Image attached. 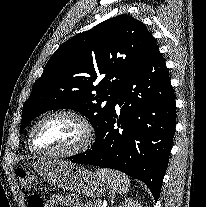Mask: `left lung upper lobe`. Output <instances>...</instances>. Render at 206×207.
I'll return each mask as SVG.
<instances>
[{
  "label": "left lung upper lobe",
  "instance_id": "left-lung-upper-lobe-1",
  "mask_svg": "<svg viewBox=\"0 0 206 207\" xmlns=\"http://www.w3.org/2000/svg\"><path fill=\"white\" fill-rule=\"evenodd\" d=\"M156 48L145 25L125 14L66 41L35 82L23 106L20 133L43 112L71 109L90 119L97 139L117 92Z\"/></svg>",
  "mask_w": 206,
  "mask_h": 207
}]
</instances>
